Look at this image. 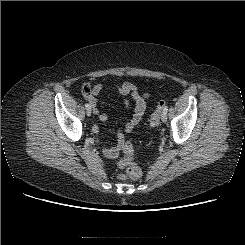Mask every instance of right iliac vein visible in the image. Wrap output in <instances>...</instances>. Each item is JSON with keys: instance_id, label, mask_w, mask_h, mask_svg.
I'll return each instance as SVG.
<instances>
[{"instance_id": "1", "label": "right iliac vein", "mask_w": 245, "mask_h": 245, "mask_svg": "<svg viewBox=\"0 0 245 245\" xmlns=\"http://www.w3.org/2000/svg\"><path fill=\"white\" fill-rule=\"evenodd\" d=\"M86 114H87V116H91V109H88V110L86 111Z\"/></svg>"}]
</instances>
